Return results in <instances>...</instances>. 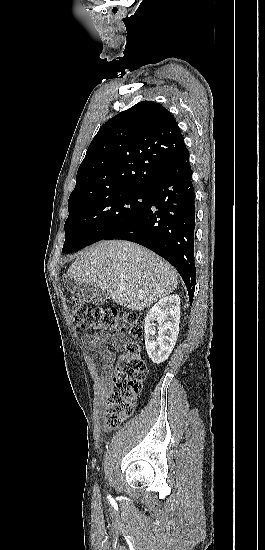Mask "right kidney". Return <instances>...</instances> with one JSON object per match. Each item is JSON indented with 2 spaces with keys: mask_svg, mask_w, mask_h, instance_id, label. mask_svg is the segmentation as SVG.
Wrapping results in <instances>:
<instances>
[{
  "mask_svg": "<svg viewBox=\"0 0 265 550\" xmlns=\"http://www.w3.org/2000/svg\"><path fill=\"white\" fill-rule=\"evenodd\" d=\"M159 327L155 338L156 324ZM180 297L170 295L160 299L148 312L145 318V345L153 363L164 362L171 354L179 334Z\"/></svg>",
  "mask_w": 265,
  "mask_h": 550,
  "instance_id": "right-kidney-1",
  "label": "right kidney"
}]
</instances>
